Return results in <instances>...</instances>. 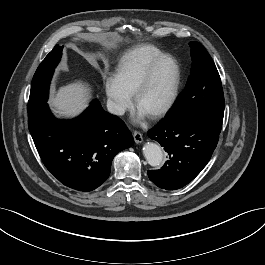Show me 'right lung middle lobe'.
<instances>
[{"mask_svg":"<svg viewBox=\"0 0 265 265\" xmlns=\"http://www.w3.org/2000/svg\"><path fill=\"white\" fill-rule=\"evenodd\" d=\"M62 49L63 47L56 45L36 70L31 84L28 115H32L46 104L50 80L62 56Z\"/></svg>","mask_w":265,"mask_h":265,"instance_id":"dd1d6c3e","label":"right lung middle lobe"}]
</instances>
